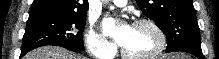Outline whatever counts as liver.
I'll use <instances>...</instances> for the list:
<instances>
[{
	"label": "liver",
	"mask_w": 219,
	"mask_h": 59,
	"mask_svg": "<svg viewBox=\"0 0 219 59\" xmlns=\"http://www.w3.org/2000/svg\"><path fill=\"white\" fill-rule=\"evenodd\" d=\"M23 59H87L86 57L76 55L64 48L56 46H44L37 48L27 55Z\"/></svg>",
	"instance_id": "6515ba94"
}]
</instances>
